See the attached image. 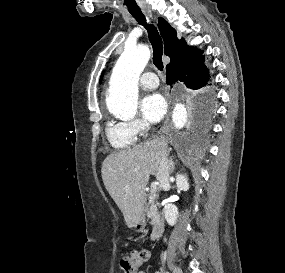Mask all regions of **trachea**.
Listing matches in <instances>:
<instances>
[{
	"mask_svg": "<svg viewBox=\"0 0 285 273\" xmlns=\"http://www.w3.org/2000/svg\"><path fill=\"white\" fill-rule=\"evenodd\" d=\"M140 25H143L148 32L149 40L153 48V63L160 70H163V44L157 28L147 23L144 14L140 12H130Z\"/></svg>",
	"mask_w": 285,
	"mask_h": 273,
	"instance_id": "obj_1",
	"label": "trachea"
}]
</instances>
